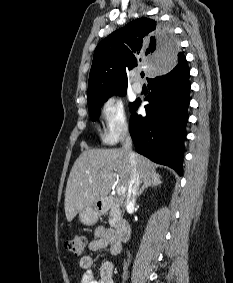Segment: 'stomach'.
<instances>
[{
    "label": "stomach",
    "mask_w": 233,
    "mask_h": 283,
    "mask_svg": "<svg viewBox=\"0 0 233 283\" xmlns=\"http://www.w3.org/2000/svg\"><path fill=\"white\" fill-rule=\"evenodd\" d=\"M100 215L101 211L95 205H91L79 212V220L85 225H93Z\"/></svg>",
    "instance_id": "0dacf381"
}]
</instances>
